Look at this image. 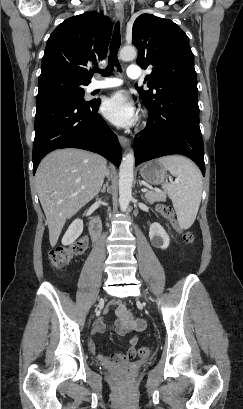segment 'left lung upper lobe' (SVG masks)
Returning <instances> with one entry per match:
<instances>
[{"label": "left lung upper lobe", "instance_id": "5c2ea615", "mask_svg": "<svg viewBox=\"0 0 243 409\" xmlns=\"http://www.w3.org/2000/svg\"><path fill=\"white\" fill-rule=\"evenodd\" d=\"M132 42L140 67L152 68L144 80L149 89H138L145 103L154 104L175 89L197 87L189 38L173 21L141 14L133 24Z\"/></svg>", "mask_w": 243, "mask_h": 409}]
</instances>
